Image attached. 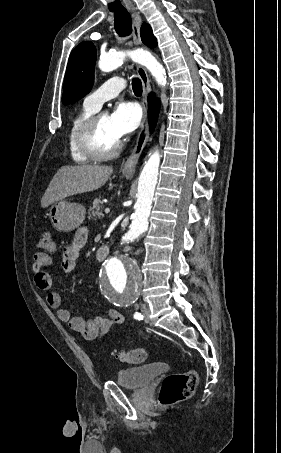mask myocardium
<instances>
[{"instance_id": "1", "label": "myocardium", "mask_w": 281, "mask_h": 453, "mask_svg": "<svg viewBox=\"0 0 281 453\" xmlns=\"http://www.w3.org/2000/svg\"><path fill=\"white\" fill-rule=\"evenodd\" d=\"M104 113L92 116L82 127L79 134V147L82 153L94 160H108L116 157L123 148V141L120 139L109 151H103L97 144V129Z\"/></svg>"}]
</instances>
